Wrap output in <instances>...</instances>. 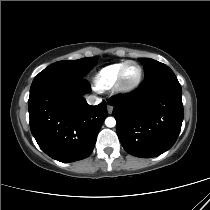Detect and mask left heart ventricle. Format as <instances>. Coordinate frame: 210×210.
Instances as JSON below:
<instances>
[{
	"instance_id": "1",
	"label": "left heart ventricle",
	"mask_w": 210,
	"mask_h": 210,
	"mask_svg": "<svg viewBox=\"0 0 210 210\" xmlns=\"http://www.w3.org/2000/svg\"><path fill=\"white\" fill-rule=\"evenodd\" d=\"M139 74V69L135 64H129L124 71V79L126 82H133Z\"/></svg>"
}]
</instances>
